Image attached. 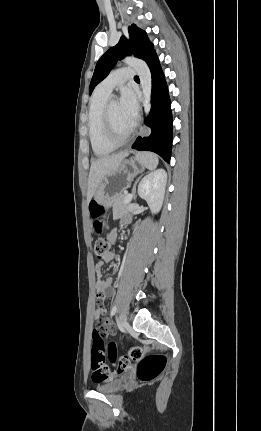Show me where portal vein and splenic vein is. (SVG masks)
<instances>
[{
    "mask_svg": "<svg viewBox=\"0 0 261 431\" xmlns=\"http://www.w3.org/2000/svg\"><path fill=\"white\" fill-rule=\"evenodd\" d=\"M131 200H132V195L131 194H129V195H127V197L125 198V203H129V202H131Z\"/></svg>",
    "mask_w": 261,
    "mask_h": 431,
    "instance_id": "1",
    "label": "portal vein and splenic vein"
}]
</instances>
